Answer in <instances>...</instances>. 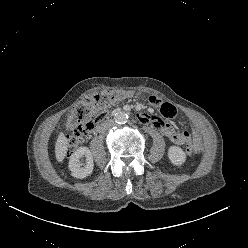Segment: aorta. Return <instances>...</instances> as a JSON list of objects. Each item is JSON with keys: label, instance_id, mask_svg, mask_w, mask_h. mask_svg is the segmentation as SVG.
I'll use <instances>...</instances> for the list:
<instances>
[{"label": "aorta", "instance_id": "1", "mask_svg": "<svg viewBox=\"0 0 248 248\" xmlns=\"http://www.w3.org/2000/svg\"><path fill=\"white\" fill-rule=\"evenodd\" d=\"M114 120L118 124H124L128 120V115L125 112H123V111L117 112L114 115Z\"/></svg>", "mask_w": 248, "mask_h": 248}]
</instances>
